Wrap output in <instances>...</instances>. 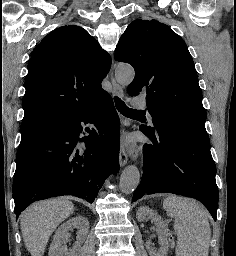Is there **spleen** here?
I'll return each instance as SVG.
<instances>
[{"mask_svg":"<svg viewBox=\"0 0 236 256\" xmlns=\"http://www.w3.org/2000/svg\"><path fill=\"white\" fill-rule=\"evenodd\" d=\"M163 208L174 220L176 256H208L211 230L204 208L178 196L165 198Z\"/></svg>","mask_w":236,"mask_h":256,"instance_id":"spleen-1","label":"spleen"}]
</instances>
